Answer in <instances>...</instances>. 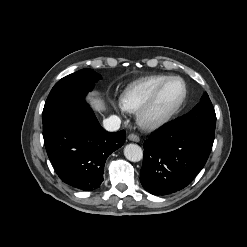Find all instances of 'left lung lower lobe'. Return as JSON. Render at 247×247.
Masks as SVG:
<instances>
[{
    "mask_svg": "<svg viewBox=\"0 0 247 247\" xmlns=\"http://www.w3.org/2000/svg\"><path fill=\"white\" fill-rule=\"evenodd\" d=\"M178 120L152 133L144 143L140 181L154 195L186 187L204 167L214 142V132L182 128Z\"/></svg>",
    "mask_w": 247,
    "mask_h": 247,
    "instance_id": "obj_1",
    "label": "left lung lower lobe"
}]
</instances>
